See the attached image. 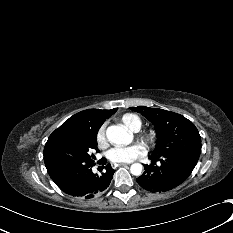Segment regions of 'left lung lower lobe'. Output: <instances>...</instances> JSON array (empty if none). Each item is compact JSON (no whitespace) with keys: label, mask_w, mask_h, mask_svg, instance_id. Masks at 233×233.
<instances>
[{"label":"left lung lower lobe","mask_w":233,"mask_h":233,"mask_svg":"<svg viewBox=\"0 0 233 233\" xmlns=\"http://www.w3.org/2000/svg\"><path fill=\"white\" fill-rule=\"evenodd\" d=\"M160 161V166L144 165V173L137 178L138 184L150 192H166L183 183L192 173L197 163L176 155H151Z\"/></svg>","instance_id":"left-lung-lower-lobe-1"}]
</instances>
